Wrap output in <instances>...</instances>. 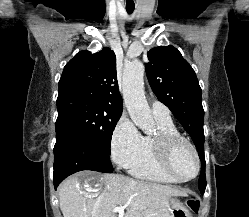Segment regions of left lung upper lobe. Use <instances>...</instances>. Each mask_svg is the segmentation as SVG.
Returning a JSON list of instances; mask_svg holds the SVG:
<instances>
[{"label": "left lung upper lobe", "instance_id": "left-lung-upper-lobe-1", "mask_svg": "<svg viewBox=\"0 0 249 217\" xmlns=\"http://www.w3.org/2000/svg\"><path fill=\"white\" fill-rule=\"evenodd\" d=\"M147 56L146 73L153 92L191 136L205 168L202 91L194 70L171 45L152 48Z\"/></svg>", "mask_w": 249, "mask_h": 217}]
</instances>
